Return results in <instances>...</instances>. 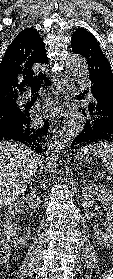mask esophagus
I'll return each mask as SVG.
<instances>
[{
    "label": "esophagus",
    "mask_w": 113,
    "mask_h": 279,
    "mask_svg": "<svg viewBox=\"0 0 113 279\" xmlns=\"http://www.w3.org/2000/svg\"><path fill=\"white\" fill-rule=\"evenodd\" d=\"M57 88L64 95V105L58 113L64 118L68 119L74 114L77 107V100L75 99V87L72 80L68 77L58 79Z\"/></svg>",
    "instance_id": "34e87169"
}]
</instances>
